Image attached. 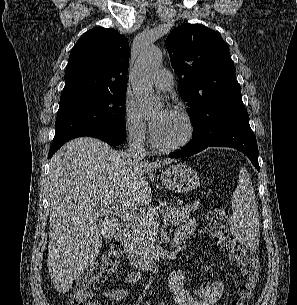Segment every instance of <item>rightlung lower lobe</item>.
Segmentation results:
<instances>
[{
  "label": "right lung lower lobe",
  "mask_w": 297,
  "mask_h": 305,
  "mask_svg": "<svg viewBox=\"0 0 297 305\" xmlns=\"http://www.w3.org/2000/svg\"><path fill=\"white\" fill-rule=\"evenodd\" d=\"M81 136H90L98 138L102 141H105L109 145H119L123 143L126 139V132L125 131H118V130H89L83 133L78 134L77 136L73 137H81ZM71 138V139H73ZM67 142V141H66ZM64 142V143H66ZM63 143V144H64ZM61 144L58 147H51L49 150L48 158L50 159L53 154L63 145Z\"/></svg>",
  "instance_id": "1"
}]
</instances>
